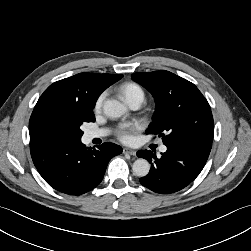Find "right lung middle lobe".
<instances>
[{"mask_svg": "<svg viewBox=\"0 0 251 251\" xmlns=\"http://www.w3.org/2000/svg\"><path fill=\"white\" fill-rule=\"evenodd\" d=\"M91 92L96 91L95 86L90 87ZM94 105L89 108H69L53 110L47 119L48 138L51 141L79 140L83 135L81 125L85 122H94L95 115L92 111Z\"/></svg>", "mask_w": 251, "mask_h": 251, "instance_id": "right-lung-middle-lobe-1", "label": "right lung middle lobe"}]
</instances>
